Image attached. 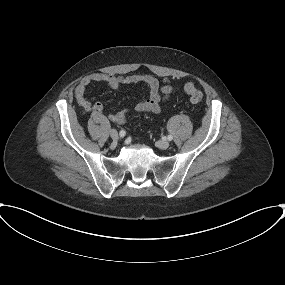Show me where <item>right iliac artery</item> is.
Returning a JSON list of instances; mask_svg holds the SVG:
<instances>
[{"label":"right iliac artery","mask_w":285,"mask_h":285,"mask_svg":"<svg viewBox=\"0 0 285 285\" xmlns=\"http://www.w3.org/2000/svg\"><path fill=\"white\" fill-rule=\"evenodd\" d=\"M119 134H120L121 137H124L126 132L124 130H121Z\"/></svg>","instance_id":"82829eb1"}]
</instances>
